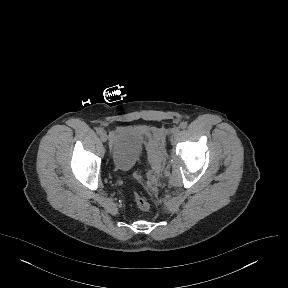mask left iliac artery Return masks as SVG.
<instances>
[{
    "label": "left iliac artery",
    "mask_w": 288,
    "mask_h": 288,
    "mask_svg": "<svg viewBox=\"0 0 288 288\" xmlns=\"http://www.w3.org/2000/svg\"><path fill=\"white\" fill-rule=\"evenodd\" d=\"M187 125H188L187 122L183 121V122L180 123L179 126H180L181 129H185L187 127Z\"/></svg>",
    "instance_id": "obj_1"
}]
</instances>
